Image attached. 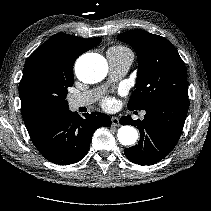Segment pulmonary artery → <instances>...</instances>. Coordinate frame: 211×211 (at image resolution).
I'll return each instance as SVG.
<instances>
[{
  "mask_svg": "<svg viewBox=\"0 0 211 211\" xmlns=\"http://www.w3.org/2000/svg\"><path fill=\"white\" fill-rule=\"evenodd\" d=\"M106 56L110 68V77L114 80L123 77L128 72L133 61L131 52L117 53L108 50ZM100 93L101 89H93L70 96L68 98L69 107L74 110L82 106H88L97 99Z\"/></svg>",
  "mask_w": 211,
  "mask_h": 211,
  "instance_id": "pulmonary-artery-1",
  "label": "pulmonary artery"
}]
</instances>
